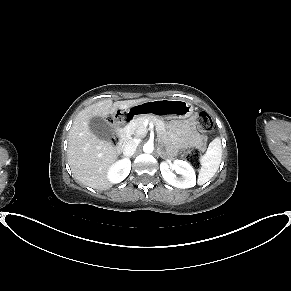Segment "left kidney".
Instances as JSON below:
<instances>
[{
    "label": "left kidney",
    "mask_w": 291,
    "mask_h": 291,
    "mask_svg": "<svg viewBox=\"0 0 291 291\" xmlns=\"http://www.w3.org/2000/svg\"><path fill=\"white\" fill-rule=\"evenodd\" d=\"M160 170L163 179L170 185L177 188H191L196 185V174L193 167L186 161L174 160L173 163L168 161L161 162ZM173 170L180 177L173 173Z\"/></svg>",
    "instance_id": "left-kidney-1"
}]
</instances>
